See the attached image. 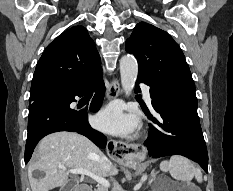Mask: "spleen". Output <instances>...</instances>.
I'll return each instance as SVG.
<instances>
[{"label": "spleen", "mask_w": 233, "mask_h": 191, "mask_svg": "<svg viewBox=\"0 0 233 191\" xmlns=\"http://www.w3.org/2000/svg\"><path fill=\"white\" fill-rule=\"evenodd\" d=\"M160 168L164 172H169L175 180L190 182L195 177L198 182H202L201 171L183 156L174 155L169 160L162 161Z\"/></svg>", "instance_id": "1"}]
</instances>
